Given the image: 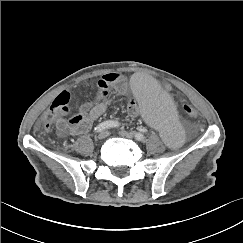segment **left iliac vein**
Segmentation results:
<instances>
[{
    "instance_id": "1",
    "label": "left iliac vein",
    "mask_w": 243,
    "mask_h": 243,
    "mask_svg": "<svg viewBox=\"0 0 243 243\" xmlns=\"http://www.w3.org/2000/svg\"><path fill=\"white\" fill-rule=\"evenodd\" d=\"M119 134L123 137H127V138H133L135 136V134L133 132L130 131H125V130H120Z\"/></svg>"
}]
</instances>
